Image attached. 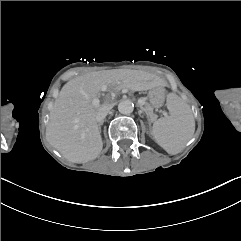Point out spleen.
<instances>
[{
  "label": "spleen",
  "instance_id": "1",
  "mask_svg": "<svg viewBox=\"0 0 241 241\" xmlns=\"http://www.w3.org/2000/svg\"><path fill=\"white\" fill-rule=\"evenodd\" d=\"M167 112L169 117L159 118L153 124L152 135L167 153L177 154L191 139L195 122L190 113V105L177 94L168 96Z\"/></svg>",
  "mask_w": 241,
  "mask_h": 241
}]
</instances>
